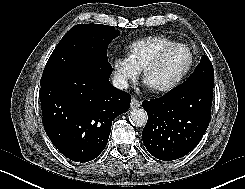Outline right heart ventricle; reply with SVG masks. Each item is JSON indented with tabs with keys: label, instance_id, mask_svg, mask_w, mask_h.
Wrapping results in <instances>:
<instances>
[{
	"label": "right heart ventricle",
	"instance_id": "right-heart-ventricle-1",
	"mask_svg": "<svg viewBox=\"0 0 245 189\" xmlns=\"http://www.w3.org/2000/svg\"><path fill=\"white\" fill-rule=\"evenodd\" d=\"M173 43L174 40L161 34L141 38L126 47L127 58L140 71L160 49Z\"/></svg>",
	"mask_w": 245,
	"mask_h": 189
}]
</instances>
